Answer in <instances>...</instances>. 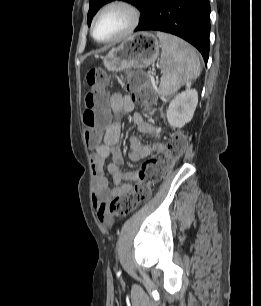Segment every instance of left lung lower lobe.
<instances>
[{
  "label": "left lung lower lobe",
  "instance_id": "left-lung-lower-lobe-1",
  "mask_svg": "<svg viewBox=\"0 0 261 306\" xmlns=\"http://www.w3.org/2000/svg\"><path fill=\"white\" fill-rule=\"evenodd\" d=\"M174 34L195 46L205 63L209 57V0H147L135 31Z\"/></svg>",
  "mask_w": 261,
  "mask_h": 306
}]
</instances>
